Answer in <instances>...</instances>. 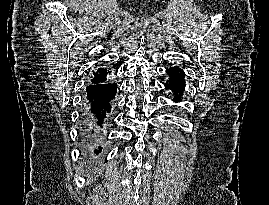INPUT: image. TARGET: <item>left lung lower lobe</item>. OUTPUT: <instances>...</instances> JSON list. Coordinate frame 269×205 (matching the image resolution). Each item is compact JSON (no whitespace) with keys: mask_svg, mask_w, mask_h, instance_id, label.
<instances>
[{"mask_svg":"<svg viewBox=\"0 0 269 205\" xmlns=\"http://www.w3.org/2000/svg\"><path fill=\"white\" fill-rule=\"evenodd\" d=\"M166 73L169 75V80L165 83V87L176 95L175 101H179V98L185 89L184 71L175 66L167 69Z\"/></svg>","mask_w":269,"mask_h":205,"instance_id":"1","label":"left lung lower lobe"}]
</instances>
